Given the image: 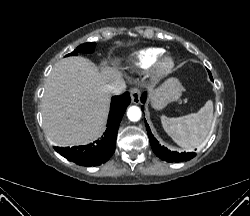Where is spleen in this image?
Here are the masks:
<instances>
[{
    "instance_id": "3e777b00",
    "label": "spleen",
    "mask_w": 250,
    "mask_h": 216,
    "mask_svg": "<svg viewBox=\"0 0 250 216\" xmlns=\"http://www.w3.org/2000/svg\"><path fill=\"white\" fill-rule=\"evenodd\" d=\"M213 102L208 100L197 112L177 118L161 117L166 133L182 148H200L212 127Z\"/></svg>"
}]
</instances>
